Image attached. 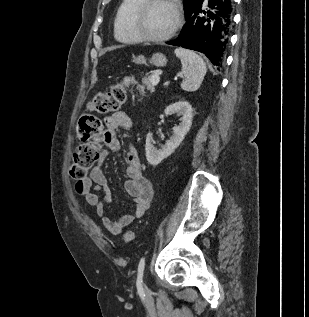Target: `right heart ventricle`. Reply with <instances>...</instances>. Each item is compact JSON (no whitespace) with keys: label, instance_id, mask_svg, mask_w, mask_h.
<instances>
[{"label":"right heart ventricle","instance_id":"1","mask_svg":"<svg viewBox=\"0 0 309 317\" xmlns=\"http://www.w3.org/2000/svg\"><path fill=\"white\" fill-rule=\"evenodd\" d=\"M143 0H122L114 18V37L125 44L138 43L139 38L131 29V16Z\"/></svg>","mask_w":309,"mask_h":317}]
</instances>
